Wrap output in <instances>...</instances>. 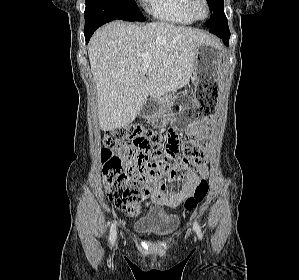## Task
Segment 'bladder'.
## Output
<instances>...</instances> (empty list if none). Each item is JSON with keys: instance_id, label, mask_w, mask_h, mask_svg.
<instances>
[{"instance_id": "1", "label": "bladder", "mask_w": 299, "mask_h": 280, "mask_svg": "<svg viewBox=\"0 0 299 280\" xmlns=\"http://www.w3.org/2000/svg\"><path fill=\"white\" fill-rule=\"evenodd\" d=\"M179 222L177 214L158 210L139 221L134 226V229L143 236L164 238L172 235L176 231Z\"/></svg>"}]
</instances>
